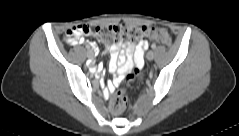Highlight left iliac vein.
<instances>
[{
    "label": "left iliac vein",
    "mask_w": 239,
    "mask_h": 136,
    "mask_svg": "<svg viewBox=\"0 0 239 136\" xmlns=\"http://www.w3.org/2000/svg\"><path fill=\"white\" fill-rule=\"evenodd\" d=\"M146 58L148 60H153L154 58V52L153 51H149L147 54H146Z\"/></svg>",
    "instance_id": "4c4485c4"
}]
</instances>
